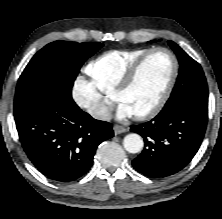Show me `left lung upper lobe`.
I'll list each match as a JSON object with an SVG mask.
<instances>
[{
	"label": "left lung upper lobe",
	"mask_w": 222,
	"mask_h": 219,
	"mask_svg": "<svg viewBox=\"0 0 222 219\" xmlns=\"http://www.w3.org/2000/svg\"><path fill=\"white\" fill-rule=\"evenodd\" d=\"M168 43L178 57L180 71L176 85L167 103L180 98H190L208 104L207 82L201 66L176 43L173 41H168Z\"/></svg>",
	"instance_id": "1"
}]
</instances>
